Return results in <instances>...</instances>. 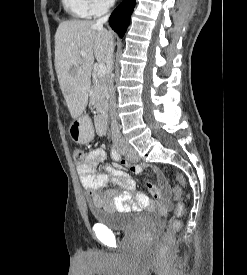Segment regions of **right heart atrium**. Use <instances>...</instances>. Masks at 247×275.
Returning <instances> with one entry per match:
<instances>
[{
  "label": "right heart atrium",
  "instance_id": "d8ad5b80",
  "mask_svg": "<svg viewBox=\"0 0 247 275\" xmlns=\"http://www.w3.org/2000/svg\"><path fill=\"white\" fill-rule=\"evenodd\" d=\"M92 15H100L111 9L115 0H87Z\"/></svg>",
  "mask_w": 247,
  "mask_h": 275
}]
</instances>
